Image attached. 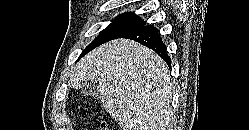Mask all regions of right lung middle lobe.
I'll use <instances>...</instances> for the list:
<instances>
[{"label": "right lung middle lobe", "instance_id": "1", "mask_svg": "<svg viewBox=\"0 0 249 130\" xmlns=\"http://www.w3.org/2000/svg\"><path fill=\"white\" fill-rule=\"evenodd\" d=\"M146 24L141 18L132 13H124L112 20V23L106 27L82 52L81 56L91 51L95 47L116 39Z\"/></svg>", "mask_w": 249, "mask_h": 130}]
</instances>
